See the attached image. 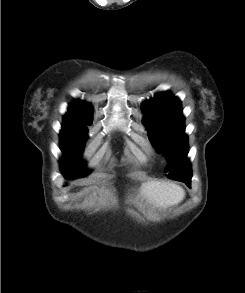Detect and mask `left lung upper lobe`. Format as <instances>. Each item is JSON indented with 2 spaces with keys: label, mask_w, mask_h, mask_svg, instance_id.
Segmentation results:
<instances>
[{
  "label": "left lung upper lobe",
  "mask_w": 245,
  "mask_h": 293,
  "mask_svg": "<svg viewBox=\"0 0 245 293\" xmlns=\"http://www.w3.org/2000/svg\"><path fill=\"white\" fill-rule=\"evenodd\" d=\"M143 111L152 145L168 157V177L181 180V177L192 176L180 100L169 92L161 93L145 103Z\"/></svg>",
  "instance_id": "1"
}]
</instances>
